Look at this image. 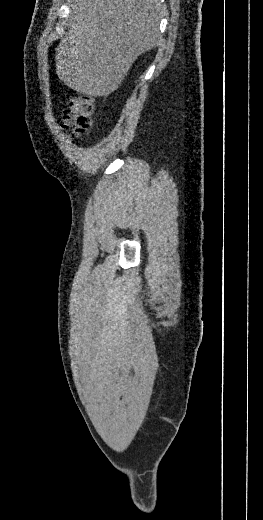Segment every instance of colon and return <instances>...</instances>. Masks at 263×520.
Masks as SVG:
<instances>
[{
	"mask_svg": "<svg viewBox=\"0 0 263 520\" xmlns=\"http://www.w3.org/2000/svg\"><path fill=\"white\" fill-rule=\"evenodd\" d=\"M93 109L94 102L90 95H75L63 112V126L71 130L73 136L81 137L91 127Z\"/></svg>",
	"mask_w": 263,
	"mask_h": 520,
	"instance_id": "colon-1",
	"label": "colon"
}]
</instances>
